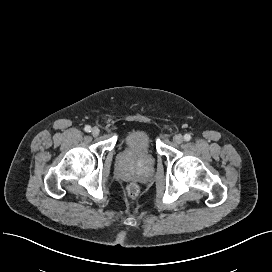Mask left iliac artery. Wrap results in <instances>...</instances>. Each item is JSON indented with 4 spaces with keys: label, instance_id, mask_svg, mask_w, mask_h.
<instances>
[{
    "label": "left iliac artery",
    "instance_id": "obj_1",
    "mask_svg": "<svg viewBox=\"0 0 272 272\" xmlns=\"http://www.w3.org/2000/svg\"><path fill=\"white\" fill-rule=\"evenodd\" d=\"M184 139H185L186 141L191 140V135H190V134H185V135H184Z\"/></svg>",
    "mask_w": 272,
    "mask_h": 272
}]
</instances>
